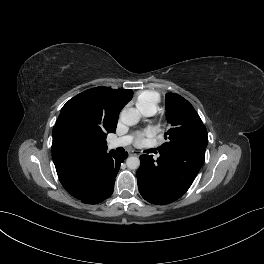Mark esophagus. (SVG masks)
<instances>
[{
  "instance_id": "1",
  "label": "esophagus",
  "mask_w": 264,
  "mask_h": 264,
  "mask_svg": "<svg viewBox=\"0 0 264 264\" xmlns=\"http://www.w3.org/2000/svg\"><path fill=\"white\" fill-rule=\"evenodd\" d=\"M128 153L131 156H139L140 155V152L136 151V150H129Z\"/></svg>"
}]
</instances>
